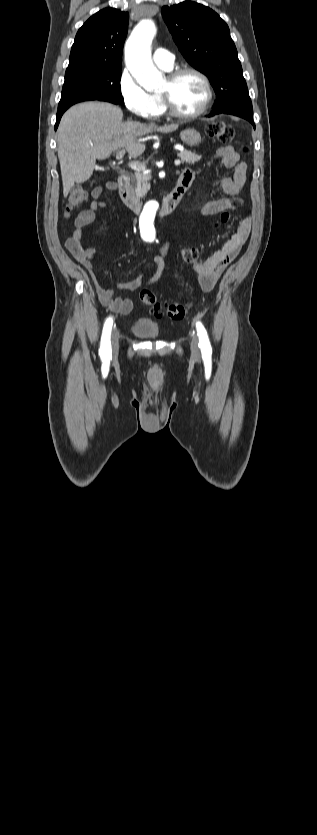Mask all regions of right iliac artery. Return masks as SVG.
I'll return each mask as SVG.
<instances>
[{"instance_id":"obj_1","label":"right iliac artery","mask_w":317,"mask_h":835,"mask_svg":"<svg viewBox=\"0 0 317 835\" xmlns=\"http://www.w3.org/2000/svg\"><path fill=\"white\" fill-rule=\"evenodd\" d=\"M112 325H113V319H112V317H108L106 319L104 327H103V332H102V337H101V345H100V349H99V355L103 360H110V358H111L112 349H111L110 336H111Z\"/></svg>"}]
</instances>
